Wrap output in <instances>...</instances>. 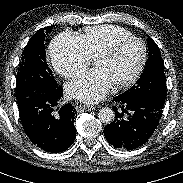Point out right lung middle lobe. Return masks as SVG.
<instances>
[{"mask_svg":"<svg viewBox=\"0 0 183 183\" xmlns=\"http://www.w3.org/2000/svg\"><path fill=\"white\" fill-rule=\"evenodd\" d=\"M52 27L38 30L24 49L16 76L17 100L26 97L30 91L45 92L58 87L45 58V36Z\"/></svg>","mask_w":183,"mask_h":183,"instance_id":"obj_1","label":"right lung middle lobe"}]
</instances>
